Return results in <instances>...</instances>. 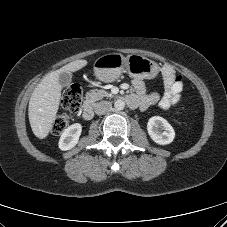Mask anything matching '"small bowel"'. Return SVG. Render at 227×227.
Listing matches in <instances>:
<instances>
[{"instance_id":"1","label":"small bowel","mask_w":227,"mask_h":227,"mask_svg":"<svg viewBox=\"0 0 227 227\" xmlns=\"http://www.w3.org/2000/svg\"><path fill=\"white\" fill-rule=\"evenodd\" d=\"M162 75L164 80V93L162 96L156 92H149L143 81L139 79L133 81L135 93L131 96L137 102L136 107L146 110L150 106L158 104L161 109L167 110L180 101L183 89L180 77L175 75V71L170 66L163 68Z\"/></svg>"}]
</instances>
